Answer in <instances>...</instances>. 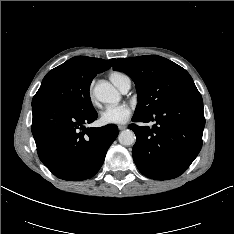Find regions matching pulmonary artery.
Listing matches in <instances>:
<instances>
[{
  "mask_svg": "<svg viewBox=\"0 0 234 234\" xmlns=\"http://www.w3.org/2000/svg\"><path fill=\"white\" fill-rule=\"evenodd\" d=\"M130 87H131V83L126 84V85L121 89V92H122V93L128 92V90L130 89Z\"/></svg>",
  "mask_w": 234,
  "mask_h": 234,
  "instance_id": "obj_1",
  "label": "pulmonary artery"
}]
</instances>
